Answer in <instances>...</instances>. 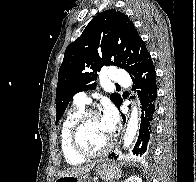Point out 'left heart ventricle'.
I'll use <instances>...</instances> for the list:
<instances>
[{"label": "left heart ventricle", "instance_id": "1", "mask_svg": "<svg viewBox=\"0 0 196 182\" xmlns=\"http://www.w3.org/2000/svg\"><path fill=\"white\" fill-rule=\"evenodd\" d=\"M111 135L106 131L102 118L99 116L91 117L84 124L80 132V143L88 151L94 152L104 148Z\"/></svg>", "mask_w": 196, "mask_h": 182}]
</instances>
